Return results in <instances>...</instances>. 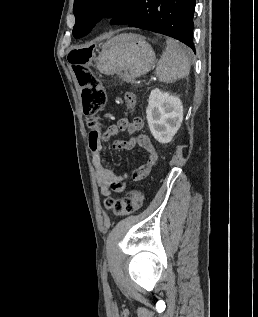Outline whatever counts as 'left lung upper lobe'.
<instances>
[{"instance_id": "1", "label": "left lung upper lobe", "mask_w": 258, "mask_h": 317, "mask_svg": "<svg viewBox=\"0 0 258 317\" xmlns=\"http://www.w3.org/2000/svg\"><path fill=\"white\" fill-rule=\"evenodd\" d=\"M139 0H75L74 15L76 23L73 36L80 38L89 33L103 17H113L112 24L129 23L135 5Z\"/></svg>"}]
</instances>
